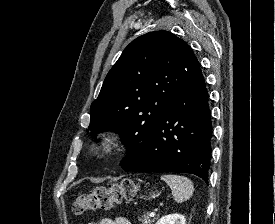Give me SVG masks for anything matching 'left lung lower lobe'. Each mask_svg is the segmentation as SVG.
Returning <instances> with one entry per match:
<instances>
[{"instance_id":"left-lung-lower-lobe-1","label":"left lung lower lobe","mask_w":275,"mask_h":224,"mask_svg":"<svg viewBox=\"0 0 275 224\" xmlns=\"http://www.w3.org/2000/svg\"><path fill=\"white\" fill-rule=\"evenodd\" d=\"M211 137L208 92L199 68L150 131L138 156L122 168L192 173L208 183Z\"/></svg>"}]
</instances>
